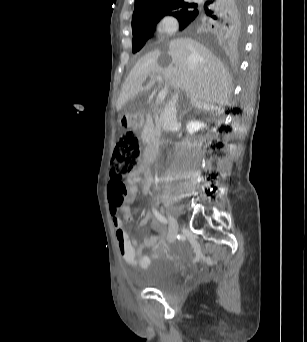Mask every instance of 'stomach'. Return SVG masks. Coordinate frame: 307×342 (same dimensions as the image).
<instances>
[{
  "label": "stomach",
  "mask_w": 307,
  "mask_h": 342,
  "mask_svg": "<svg viewBox=\"0 0 307 342\" xmlns=\"http://www.w3.org/2000/svg\"><path fill=\"white\" fill-rule=\"evenodd\" d=\"M120 122H121V124L122 125H124V124H128V117H126V116H122L121 118H120Z\"/></svg>",
  "instance_id": "stomach-1"
}]
</instances>
